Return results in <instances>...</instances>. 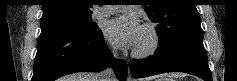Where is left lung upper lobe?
Wrapping results in <instances>:
<instances>
[{
	"label": "left lung upper lobe",
	"mask_w": 237,
	"mask_h": 81,
	"mask_svg": "<svg viewBox=\"0 0 237 81\" xmlns=\"http://www.w3.org/2000/svg\"><path fill=\"white\" fill-rule=\"evenodd\" d=\"M144 6L151 21L157 24L159 46L203 34L195 0H149Z\"/></svg>",
	"instance_id": "1"
}]
</instances>
